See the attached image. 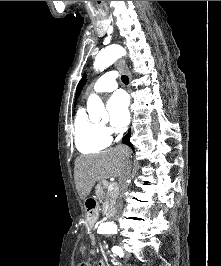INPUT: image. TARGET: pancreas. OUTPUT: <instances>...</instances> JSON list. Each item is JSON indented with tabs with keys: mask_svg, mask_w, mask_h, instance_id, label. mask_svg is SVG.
I'll list each match as a JSON object with an SVG mask.
<instances>
[{
	"mask_svg": "<svg viewBox=\"0 0 221 266\" xmlns=\"http://www.w3.org/2000/svg\"><path fill=\"white\" fill-rule=\"evenodd\" d=\"M109 185L110 183L108 181L99 182L96 186V196L100 202L108 201L110 206L113 207L118 197V189L115 188L112 191H107Z\"/></svg>",
	"mask_w": 221,
	"mask_h": 266,
	"instance_id": "pancreas-1",
	"label": "pancreas"
}]
</instances>
